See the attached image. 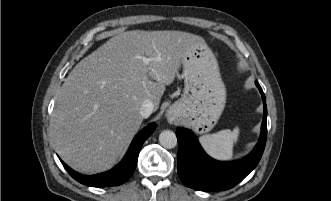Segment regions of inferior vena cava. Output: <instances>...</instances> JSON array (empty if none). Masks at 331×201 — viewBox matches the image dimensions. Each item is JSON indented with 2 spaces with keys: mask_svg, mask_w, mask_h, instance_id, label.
Instances as JSON below:
<instances>
[{
  "mask_svg": "<svg viewBox=\"0 0 331 201\" xmlns=\"http://www.w3.org/2000/svg\"><path fill=\"white\" fill-rule=\"evenodd\" d=\"M154 110V105L150 100H145L140 108V114L143 118H148Z\"/></svg>",
  "mask_w": 331,
  "mask_h": 201,
  "instance_id": "inferior-vena-cava-1",
  "label": "inferior vena cava"
}]
</instances>
